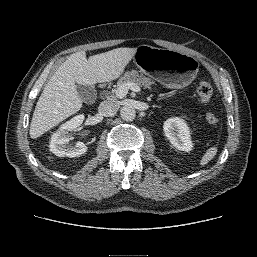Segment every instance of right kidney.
Returning a JSON list of instances; mask_svg holds the SVG:
<instances>
[{"instance_id": "ca27d5eb", "label": "right kidney", "mask_w": 257, "mask_h": 257, "mask_svg": "<svg viewBox=\"0 0 257 257\" xmlns=\"http://www.w3.org/2000/svg\"><path fill=\"white\" fill-rule=\"evenodd\" d=\"M83 120V114L77 115L70 121L62 124L60 129L52 135L49 147L53 154L58 157L72 158L87 152V146L82 142H77L74 147L67 145L71 140L69 132H72L79 127L83 123Z\"/></svg>"}]
</instances>
